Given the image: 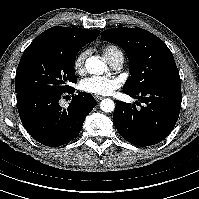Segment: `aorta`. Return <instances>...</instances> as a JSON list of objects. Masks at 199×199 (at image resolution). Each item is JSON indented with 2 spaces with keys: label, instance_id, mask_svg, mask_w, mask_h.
I'll return each instance as SVG.
<instances>
[{
  "label": "aorta",
  "instance_id": "762f6f07",
  "mask_svg": "<svg viewBox=\"0 0 199 199\" xmlns=\"http://www.w3.org/2000/svg\"><path fill=\"white\" fill-rule=\"evenodd\" d=\"M85 67L89 73L95 75H102L107 71L105 62L94 56L86 60ZM100 109L106 113L112 112L115 109V103L111 99H103L100 103Z\"/></svg>",
  "mask_w": 199,
  "mask_h": 199
}]
</instances>
